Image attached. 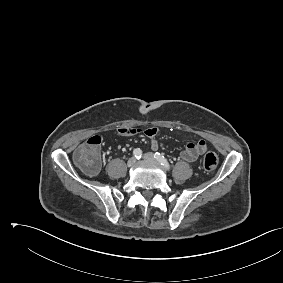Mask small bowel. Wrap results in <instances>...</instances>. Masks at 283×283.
Masks as SVG:
<instances>
[{
	"label": "small bowel",
	"mask_w": 283,
	"mask_h": 283,
	"mask_svg": "<svg viewBox=\"0 0 283 283\" xmlns=\"http://www.w3.org/2000/svg\"><path fill=\"white\" fill-rule=\"evenodd\" d=\"M119 134L123 136H133L139 133H143L145 136L151 139V148L156 150L158 148L157 135L159 130L155 127H150L144 130L135 127H122L118 130ZM208 145L205 140H199L195 143H189L185 149L180 153L183 160L187 162H195L198 158L206 152Z\"/></svg>",
	"instance_id": "c3829d8e"
}]
</instances>
